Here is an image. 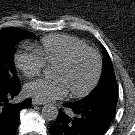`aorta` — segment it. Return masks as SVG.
I'll use <instances>...</instances> for the list:
<instances>
[{"mask_svg": "<svg viewBox=\"0 0 135 135\" xmlns=\"http://www.w3.org/2000/svg\"><path fill=\"white\" fill-rule=\"evenodd\" d=\"M58 112V108L53 104H46L42 108V116L47 121L56 120Z\"/></svg>", "mask_w": 135, "mask_h": 135, "instance_id": "aorta-1", "label": "aorta"}]
</instances>
